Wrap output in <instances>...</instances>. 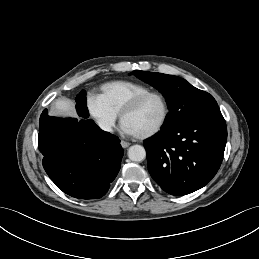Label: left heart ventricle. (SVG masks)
<instances>
[{
	"instance_id": "obj_1",
	"label": "left heart ventricle",
	"mask_w": 259,
	"mask_h": 259,
	"mask_svg": "<svg viewBox=\"0 0 259 259\" xmlns=\"http://www.w3.org/2000/svg\"><path fill=\"white\" fill-rule=\"evenodd\" d=\"M163 113L161 100L158 97H149L136 110L129 113L123 122L127 123L136 134H143L157 126Z\"/></svg>"
}]
</instances>
